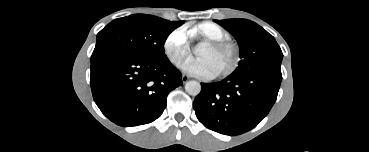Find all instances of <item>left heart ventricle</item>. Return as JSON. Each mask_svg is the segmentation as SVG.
Wrapping results in <instances>:
<instances>
[{
    "mask_svg": "<svg viewBox=\"0 0 369 152\" xmlns=\"http://www.w3.org/2000/svg\"><path fill=\"white\" fill-rule=\"evenodd\" d=\"M198 55L200 59H205L211 64L215 74L226 70L232 64L234 57L233 51L229 48L213 50L203 46Z\"/></svg>",
    "mask_w": 369,
    "mask_h": 152,
    "instance_id": "1",
    "label": "left heart ventricle"
}]
</instances>
